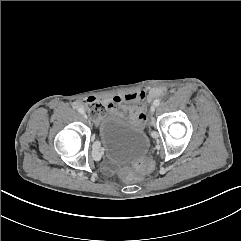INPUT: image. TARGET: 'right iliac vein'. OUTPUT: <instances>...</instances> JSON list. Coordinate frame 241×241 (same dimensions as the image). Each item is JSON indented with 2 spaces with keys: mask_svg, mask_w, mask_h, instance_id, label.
I'll return each mask as SVG.
<instances>
[{
  "mask_svg": "<svg viewBox=\"0 0 241 241\" xmlns=\"http://www.w3.org/2000/svg\"><path fill=\"white\" fill-rule=\"evenodd\" d=\"M83 116H84L86 119L88 118V116H87L86 113H83ZM96 153L98 154V151H96Z\"/></svg>",
  "mask_w": 241,
  "mask_h": 241,
  "instance_id": "right-iliac-vein-1",
  "label": "right iliac vein"
}]
</instances>
